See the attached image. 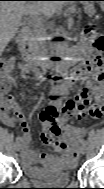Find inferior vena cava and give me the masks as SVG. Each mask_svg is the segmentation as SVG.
<instances>
[{"instance_id": "obj_1", "label": "inferior vena cava", "mask_w": 104, "mask_h": 189, "mask_svg": "<svg viewBox=\"0 0 104 189\" xmlns=\"http://www.w3.org/2000/svg\"><path fill=\"white\" fill-rule=\"evenodd\" d=\"M33 33L35 36L38 55H42L46 51V43L44 38L46 36V29L41 21L36 23Z\"/></svg>"}]
</instances>
